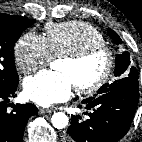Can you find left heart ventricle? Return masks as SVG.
Returning <instances> with one entry per match:
<instances>
[{
  "label": "left heart ventricle",
  "mask_w": 142,
  "mask_h": 142,
  "mask_svg": "<svg viewBox=\"0 0 142 142\" xmlns=\"http://www.w3.org/2000/svg\"><path fill=\"white\" fill-rule=\"evenodd\" d=\"M105 62V57L101 54L93 56L80 64L62 59L57 64V70L66 73L71 78L74 86L87 85L102 74Z\"/></svg>",
  "instance_id": "left-heart-ventricle-1"
}]
</instances>
